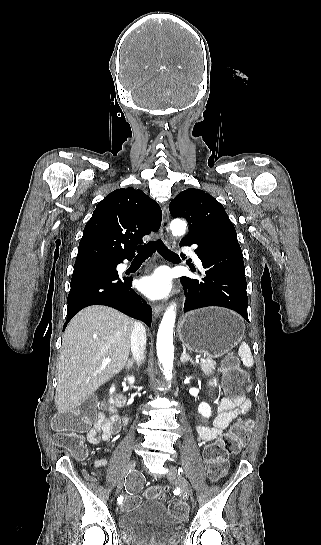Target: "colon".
<instances>
[{
	"mask_svg": "<svg viewBox=\"0 0 321 545\" xmlns=\"http://www.w3.org/2000/svg\"><path fill=\"white\" fill-rule=\"evenodd\" d=\"M222 368V386L228 397L242 396L250 389L247 373L238 366L234 358L226 359ZM94 408L95 400L87 399L78 408L61 412L54 418L53 423L57 430L53 437L55 445L67 449L76 459H83L87 454L83 432L92 423ZM252 426L251 419H239L225 436L205 447L203 456L211 480H218L226 473L227 457L239 453L246 445ZM166 491L163 487L151 486L145 494L151 499H164ZM140 503L139 496L127 494L120 508L129 510ZM169 510L177 518L186 517V507L180 502L170 503Z\"/></svg>",
	"mask_w": 321,
	"mask_h": 545,
	"instance_id": "colon-1",
	"label": "colon"
}]
</instances>
